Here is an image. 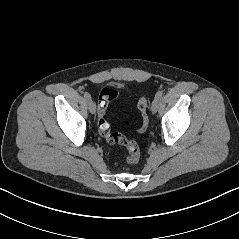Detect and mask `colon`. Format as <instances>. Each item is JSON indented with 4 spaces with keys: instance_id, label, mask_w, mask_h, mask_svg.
<instances>
[{
    "instance_id": "1",
    "label": "colon",
    "mask_w": 239,
    "mask_h": 239,
    "mask_svg": "<svg viewBox=\"0 0 239 239\" xmlns=\"http://www.w3.org/2000/svg\"><path fill=\"white\" fill-rule=\"evenodd\" d=\"M118 96V92L112 88H104L98 98V128L101 135L110 143L124 146L127 149L126 161L128 164H136L139 160V146L138 144L126 138L123 134L118 132H112L110 124L106 119V111L108 104L111 100ZM148 102L146 98H141L138 101V109L141 114V126L138 129L139 133L146 131L148 127V116H147Z\"/></svg>"
}]
</instances>
